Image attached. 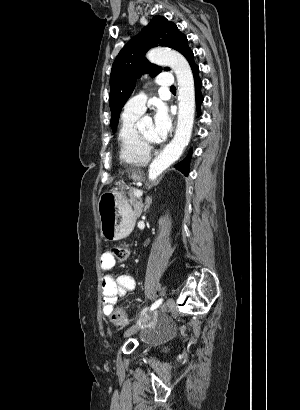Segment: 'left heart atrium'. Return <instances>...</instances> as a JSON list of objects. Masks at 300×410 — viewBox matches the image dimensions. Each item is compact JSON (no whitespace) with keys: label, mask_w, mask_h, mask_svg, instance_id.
<instances>
[{"label":"left heart atrium","mask_w":300,"mask_h":410,"mask_svg":"<svg viewBox=\"0 0 300 410\" xmlns=\"http://www.w3.org/2000/svg\"><path fill=\"white\" fill-rule=\"evenodd\" d=\"M171 130V117L164 104L158 103L154 111L153 133L154 141L162 142Z\"/></svg>","instance_id":"left-heart-atrium-1"}]
</instances>
